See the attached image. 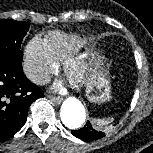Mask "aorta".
Here are the masks:
<instances>
[{
    "label": "aorta",
    "mask_w": 153,
    "mask_h": 153,
    "mask_svg": "<svg viewBox=\"0 0 153 153\" xmlns=\"http://www.w3.org/2000/svg\"><path fill=\"white\" fill-rule=\"evenodd\" d=\"M62 123L70 128H80L86 119V111L83 104L75 97L67 98L60 110Z\"/></svg>",
    "instance_id": "obj_1"
}]
</instances>
